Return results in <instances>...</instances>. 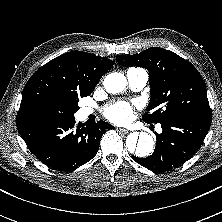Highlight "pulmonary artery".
Returning <instances> with one entry per match:
<instances>
[{
  "instance_id": "pulmonary-artery-1",
  "label": "pulmonary artery",
  "mask_w": 222,
  "mask_h": 222,
  "mask_svg": "<svg viewBox=\"0 0 222 222\" xmlns=\"http://www.w3.org/2000/svg\"><path fill=\"white\" fill-rule=\"evenodd\" d=\"M126 76L130 87L134 91L143 89L148 81V72L142 68H130L127 70ZM82 111L84 115H89L92 112L89 108H84Z\"/></svg>"
}]
</instances>
